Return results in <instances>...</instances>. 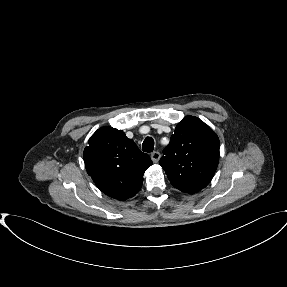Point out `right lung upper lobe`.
<instances>
[{
	"label": "right lung upper lobe",
	"mask_w": 287,
	"mask_h": 287,
	"mask_svg": "<svg viewBox=\"0 0 287 287\" xmlns=\"http://www.w3.org/2000/svg\"><path fill=\"white\" fill-rule=\"evenodd\" d=\"M83 157L96 186L117 200L136 195L145 170L152 165L148 154L141 152L123 131L112 127H102L92 135Z\"/></svg>",
	"instance_id": "right-lung-upper-lobe-1"
}]
</instances>
